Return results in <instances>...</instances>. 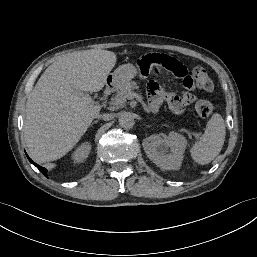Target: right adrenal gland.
<instances>
[{"label": "right adrenal gland", "instance_id": "obj_1", "mask_svg": "<svg viewBox=\"0 0 257 257\" xmlns=\"http://www.w3.org/2000/svg\"><path fill=\"white\" fill-rule=\"evenodd\" d=\"M99 120H95L91 123V126H93V124H97Z\"/></svg>", "mask_w": 257, "mask_h": 257}]
</instances>
